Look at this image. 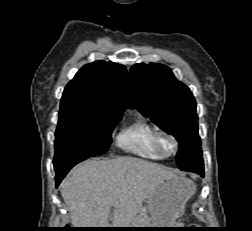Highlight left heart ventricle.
<instances>
[{"label": "left heart ventricle", "mask_w": 252, "mask_h": 231, "mask_svg": "<svg viewBox=\"0 0 252 231\" xmlns=\"http://www.w3.org/2000/svg\"><path fill=\"white\" fill-rule=\"evenodd\" d=\"M161 146L164 152L171 153L174 150V143L168 137H163L161 140Z\"/></svg>", "instance_id": "obj_1"}]
</instances>
